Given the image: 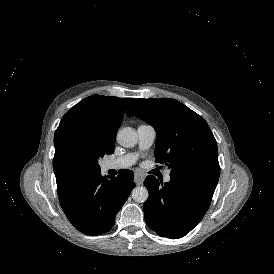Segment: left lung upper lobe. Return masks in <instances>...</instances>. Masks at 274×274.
<instances>
[{
	"mask_svg": "<svg viewBox=\"0 0 274 274\" xmlns=\"http://www.w3.org/2000/svg\"><path fill=\"white\" fill-rule=\"evenodd\" d=\"M127 115H134L154 127L155 158L171 170L170 175L218 181L217 143L200 115L171 98L137 99Z\"/></svg>",
	"mask_w": 274,
	"mask_h": 274,
	"instance_id": "left-lung-upper-lobe-1",
	"label": "left lung upper lobe"
}]
</instances>
